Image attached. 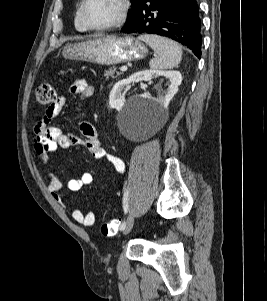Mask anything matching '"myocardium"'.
<instances>
[{
  "label": "myocardium",
  "mask_w": 267,
  "mask_h": 301,
  "mask_svg": "<svg viewBox=\"0 0 267 301\" xmlns=\"http://www.w3.org/2000/svg\"><path fill=\"white\" fill-rule=\"evenodd\" d=\"M87 2H88V0H81L80 7H79L80 19H81L83 26L87 30H92V31H109V30H113L115 28L120 27L126 21L129 10H130V0H120V12H119L117 18L114 21H112L111 23L96 26V25L90 24L86 18L85 10H86Z\"/></svg>",
  "instance_id": "1"
}]
</instances>
